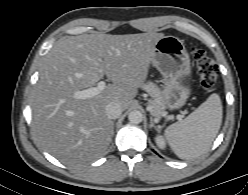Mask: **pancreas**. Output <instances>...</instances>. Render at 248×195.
<instances>
[{
  "instance_id": "obj_1",
  "label": "pancreas",
  "mask_w": 248,
  "mask_h": 195,
  "mask_svg": "<svg viewBox=\"0 0 248 195\" xmlns=\"http://www.w3.org/2000/svg\"><path fill=\"white\" fill-rule=\"evenodd\" d=\"M153 100L151 102V114L155 117H161L165 112V101L161 95V91L158 86L153 82H147L142 86Z\"/></svg>"
}]
</instances>
